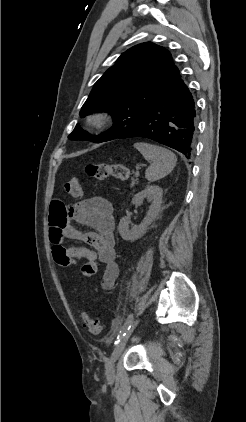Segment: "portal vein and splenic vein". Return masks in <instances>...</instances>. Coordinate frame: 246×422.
<instances>
[{
	"label": "portal vein and splenic vein",
	"instance_id": "18ae733b",
	"mask_svg": "<svg viewBox=\"0 0 246 422\" xmlns=\"http://www.w3.org/2000/svg\"><path fill=\"white\" fill-rule=\"evenodd\" d=\"M135 176H136V177H138V176H139V172H138V171L135 173Z\"/></svg>",
	"mask_w": 246,
	"mask_h": 422
}]
</instances>
